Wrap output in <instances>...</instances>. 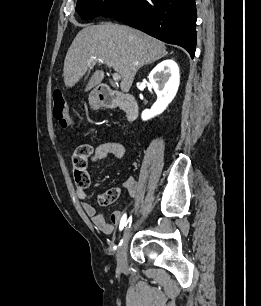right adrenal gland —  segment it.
Wrapping results in <instances>:
<instances>
[{
  "mask_svg": "<svg viewBox=\"0 0 261 306\" xmlns=\"http://www.w3.org/2000/svg\"><path fill=\"white\" fill-rule=\"evenodd\" d=\"M154 61H152V62H150V63H148V64H146V65H150L151 63H153Z\"/></svg>",
  "mask_w": 261,
  "mask_h": 306,
  "instance_id": "1",
  "label": "right adrenal gland"
}]
</instances>
